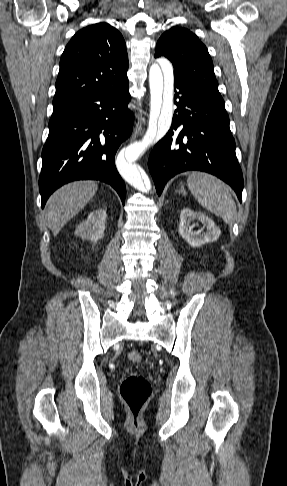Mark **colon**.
Returning <instances> with one entry per match:
<instances>
[{
	"mask_svg": "<svg viewBox=\"0 0 287 486\" xmlns=\"http://www.w3.org/2000/svg\"><path fill=\"white\" fill-rule=\"evenodd\" d=\"M128 359L133 363H140L142 355L139 351H131L128 353ZM151 394V383L142 374H131L120 385L121 399L135 422L138 421V417L148 403Z\"/></svg>",
	"mask_w": 287,
	"mask_h": 486,
	"instance_id": "5ec220e1",
	"label": "colon"
}]
</instances>
